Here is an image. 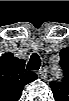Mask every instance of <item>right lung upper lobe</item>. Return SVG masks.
<instances>
[{
    "label": "right lung upper lobe",
    "instance_id": "cb5924a9",
    "mask_svg": "<svg viewBox=\"0 0 69 101\" xmlns=\"http://www.w3.org/2000/svg\"><path fill=\"white\" fill-rule=\"evenodd\" d=\"M1 91L11 100L21 97L24 86L37 79V75L25 69V61L15 58L11 52L0 58Z\"/></svg>",
    "mask_w": 69,
    "mask_h": 101
}]
</instances>
